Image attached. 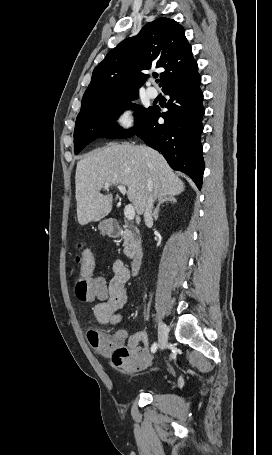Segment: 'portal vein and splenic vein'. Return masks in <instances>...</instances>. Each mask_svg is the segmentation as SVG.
I'll use <instances>...</instances> for the list:
<instances>
[{"label": "portal vein and splenic vein", "mask_w": 272, "mask_h": 455, "mask_svg": "<svg viewBox=\"0 0 272 455\" xmlns=\"http://www.w3.org/2000/svg\"><path fill=\"white\" fill-rule=\"evenodd\" d=\"M111 185L110 182H105V187H109ZM118 189L120 190V192L125 195L126 194V188L125 186L123 185H118ZM124 215L125 217L128 219V220H133L134 217H135V209H134V206L132 204H128L127 206H125V209H124Z\"/></svg>", "instance_id": "1"}]
</instances>
